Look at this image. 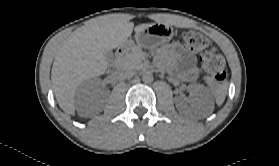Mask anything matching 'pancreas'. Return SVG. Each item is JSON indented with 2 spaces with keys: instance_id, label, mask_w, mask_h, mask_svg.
<instances>
[{
  "instance_id": "pancreas-1",
  "label": "pancreas",
  "mask_w": 279,
  "mask_h": 166,
  "mask_svg": "<svg viewBox=\"0 0 279 166\" xmlns=\"http://www.w3.org/2000/svg\"><path fill=\"white\" fill-rule=\"evenodd\" d=\"M142 65V51L139 47L119 59L121 69H140Z\"/></svg>"
}]
</instances>
